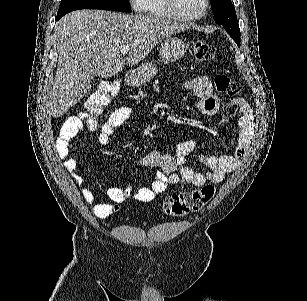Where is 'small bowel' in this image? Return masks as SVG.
<instances>
[{
  "mask_svg": "<svg viewBox=\"0 0 307 301\" xmlns=\"http://www.w3.org/2000/svg\"><path fill=\"white\" fill-rule=\"evenodd\" d=\"M185 87L199 98L198 109L202 114L214 115L218 112L222 100L212 91V85L207 77H196L185 84ZM230 107L239 111L238 135L235 147L230 154L220 156L209 155L201 151L196 140H186L179 143L174 155L151 151L142 159V165L156 167L158 172L150 187L133 192L130 186L110 187L107 190L108 202H96L95 195L89 187L81 188L83 199L92 205V213L96 218L105 219L118 210V205L131 197L141 202L152 201L170 184L192 185L200 187L207 181L221 182L225 176L236 170L245 159L254 134L253 111L244 98L230 97L226 100ZM131 108L122 106L115 109L101 125L99 143L107 145L110 136L120 128L130 117ZM82 128L79 116L69 117L62 125L56 142V153L64 159L65 169L72 175L77 185L84 184V178L78 173L77 157L71 154L70 142ZM193 153L198 154L199 161L208 168L207 173L195 172L186 165V158Z\"/></svg>",
  "mask_w": 307,
  "mask_h": 301,
  "instance_id": "c3829d8e",
  "label": "small bowel"
}]
</instances>
